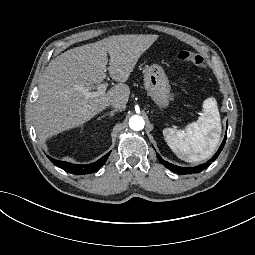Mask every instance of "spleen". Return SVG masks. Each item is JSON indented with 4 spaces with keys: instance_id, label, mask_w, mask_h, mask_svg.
Returning <instances> with one entry per match:
<instances>
[{
    "instance_id": "3e777b00",
    "label": "spleen",
    "mask_w": 255,
    "mask_h": 255,
    "mask_svg": "<svg viewBox=\"0 0 255 255\" xmlns=\"http://www.w3.org/2000/svg\"><path fill=\"white\" fill-rule=\"evenodd\" d=\"M201 122L189 124L185 131L166 128L164 139L171 150L186 162H199L214 154L221 134L220 114L217 102L210 97L203 103ZM187 151V153H183Z\"/></svg>"
}]
</instances>
